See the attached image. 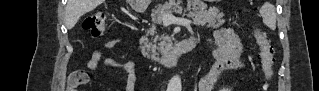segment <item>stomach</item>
Masks as SVG:
<instances>
[{"label":"stomach","instance_id":"1","mask_svg":"<svg viewBox=\"0 0 319 91\" xmlns=\"http://www.w3.org/2000/svg\"><path fill=\"white\" fill-rule=\"evenodd\" d=\"M142 2H143V4H146L147 0H142ZM194 2H198V1H194Z\"/></svg>","mask_w":319,"mask_h":91}]
</instances>
